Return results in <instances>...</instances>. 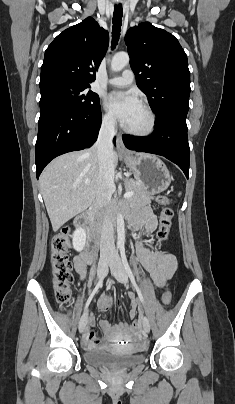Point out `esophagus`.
I'll list each match as a JSON object with an SVG mask.
<instances>
[{
    "label": "esophagus",
    "instance_id": "obj_1",
    "mask_svg": "<svg viewBox=\"0 0 235 404\" xmlns=\"http://www.w3.org/2000/svg\"><path fill=\"white\" fill-rule=\"evenodd\" d=\"M116 144H117V150L120 154L124 155L129 154V150L125 147L121 135L117 136Z\"/></svg>",
    "mask_w": 235,
    "mask_h": 404
}]
</instances>
